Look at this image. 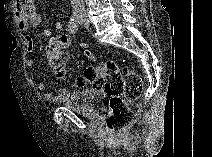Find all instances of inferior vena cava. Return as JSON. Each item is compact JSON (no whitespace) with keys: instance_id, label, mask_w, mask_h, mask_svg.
I'll list each match as a JSON object with an SVG mask.
<instances>
[{"instance_id":"602c4592","label":"inferior vena cava","mask_w":212,"mask_h":157,"mask_svg":"<svg viewBox=\"0 0 212 157\" xmlns=\"http://www.w3.org/2000/svg\"><path fill=\"white\" fill-rule=\"evenodd\" d=\"M75 9L84 11L85 9L84 0H75Z\"/></svg>"}]
</instances>
